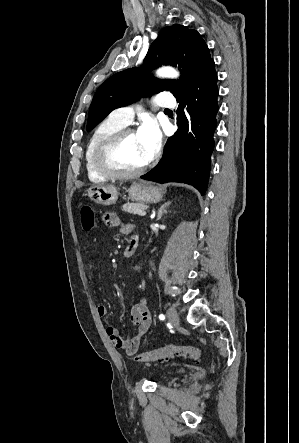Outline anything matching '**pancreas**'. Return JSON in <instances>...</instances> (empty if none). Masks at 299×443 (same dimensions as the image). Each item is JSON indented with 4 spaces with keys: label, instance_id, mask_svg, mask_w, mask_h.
<instances>
[{
    "label": "pancreas",
    "instance_id": "pancreas-1",
    "mask_svg": "<svg viewBox=\"0 0 299 443\" xmlns=\"http://www.w3.org/2000/svg\"><path fill=\"white\" fill-rule=\"evenodd\" d=\"M148 208L147 205L143 203H126L122 206V211L130 213V214H137L140 210H146Z\"/></svg>",
    "mask_w": 299,
    "mask_h": 443
}]
</instances>
